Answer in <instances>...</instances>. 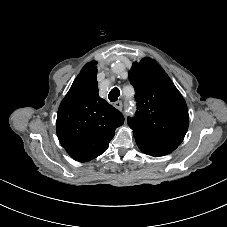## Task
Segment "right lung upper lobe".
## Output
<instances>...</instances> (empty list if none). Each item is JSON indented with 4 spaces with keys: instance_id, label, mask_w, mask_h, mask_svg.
Masks as SVG:
<instances>
[{
    "instance_id": "obj_1",
    "label": "right lung upper lobe",
    "mask_w": 227,
    "mask_h": 227,
    "mask_svg": "<svg viewBox=\"0 0 227 227\" xmlns=\"http://www.w3.org/2000/svg\"><path fill=\"white\" fill-rule=\"evenodd\" d=\"M97 62L87 63L60 103L57 136L76 161H90L104 153L124 117L98 95Z\"/></svg>"
}]
</instances>
